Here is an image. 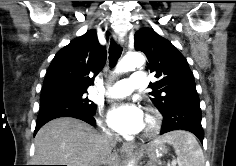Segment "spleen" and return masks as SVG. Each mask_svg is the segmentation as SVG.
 <instances>
[{
    "label": "spleen",
    "instance_id": "1",
    "mask_svg": "<svg viewBox=\"0 0 236 166\" xmlns=\"http://www.w3.org/2000/svg\"><path fill=\"white\" fill-rule=\"evenodd\" d=\"M154 142L172 145L177 155L178 166H205L203 151L195 136L189 132L173 131Z\"/></svg>",
    "mask_w": 236,
    "mask_h": 166
}]
</instances>
